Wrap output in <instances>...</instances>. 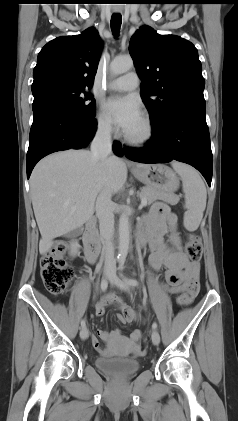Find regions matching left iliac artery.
<instances>
[{
    "label": "left iliac artery",
    "mask_w": 238,
    "mask_h": 421,
    "mask_svg": "<svg viewBox=\"0 0 238 421\" xmlns=\"http://www.w3.org/2000/svg\"><path fill=\"white\" fill-rule=\"evenodd\" d=\"M123 266H124V261H121V262H120V265H119V269H120V270H122ZM121 276L123 277V280H124V282H125L126 284H128V285H130V286H137V285H138V281H137V280H135V279H129V278H126V277H124L122 274H121ZM152 328H153V329H156V328H157V323H156V322H154V323L152 324Z\"/></svg>",
    "instance_id": "44dca946"
}]
</instances>
